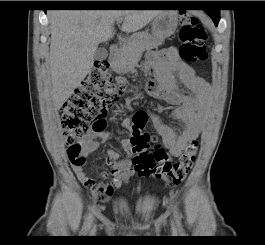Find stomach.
Segmentation results:
<instances>
[{
	"instance_id": "1",
	"label": "stomach",
	"mask_w": 265,
	"mask_h": 245,
	"mask_svg": "<svg viewBox=\"0 0 265 245\" xmlns=\"http://www.w3.org/2000/svg\"><path fill=\"white\" fill-rule=\"evenodd\" d=\"M178 25V14L175 11H165L154 18L152 33L155 38L164 39L171 36Z\"/></svg>"
}]
</instances>
